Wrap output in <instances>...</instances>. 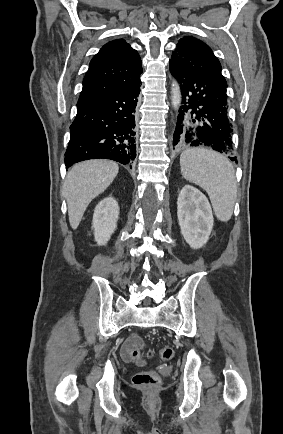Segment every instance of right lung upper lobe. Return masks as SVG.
I'll list each match as a JSON object with an SVG mask.
<instances>
[{
    "label": "right lung upper lobe",
    "instance_id": "obj_1",
    "mask_svg": "<svg viewBox=\"0 0 283 434\" xmlns=\"http://www.w3.org/2000/svg\"><path fill=\"white\" fill-rule=\"evenodd\" d=\"M141 73L138 52L123 39L110 41L92 58L78 104L125 90L140 81Z\"/></svg>",
    "mask_w": 283,
    "mask_h": 434
}]
</instances>
